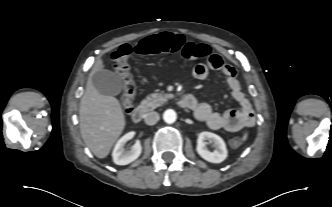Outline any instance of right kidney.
Here are the masks:
<instances>
[{
    "label": "right kidney",
    "mask_w": 332,
    "mask_h": 207,
    "mask_svg": "<svg viewBox=\"0 0 332 207\" xmlns=\"http://www.w3.org/2000/svg\"><path fill=\"white\" fill-rule=\"evenodd\" d=\"M134 135H135L134 132H129L125 134L123 137H121L116 143L112 152V157L115 164L127 165L136 160L140 156L142 152V146L139 142H136L132 146L131 150L124 149L126 142L132 139Z\"/></svg>",
    "instance_id": "1"
}]
</instances>
